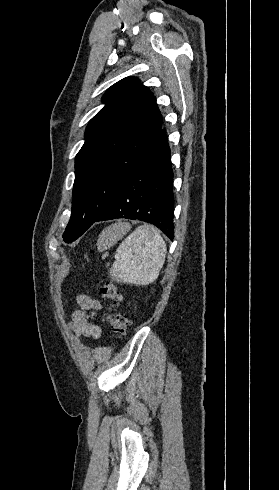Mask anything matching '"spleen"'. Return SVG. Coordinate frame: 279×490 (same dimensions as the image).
I'll use <instances>...</instances> for the list:
<instances>
[{
    "label": "spleen",
    "mask_w": 279,
    "mask_h": 490,
    "mask_svg": "<svg viewBox=\"0 0 279 490\" xmlns=\"http://www.w3.org/2000/svg\"><path fill=\"white\" fill-rule=\"evenodd\" d=\"M130 224L117 222L103 230L98 240L99 252H105L117 244ZM166 258V244L159 234V230L144 224L136 228L115 254V262L110 270L112 280L123 284H136V286H149L157 280Z\"/></svg>",
    "instance_id": "obj_1"
}]
</instances>
